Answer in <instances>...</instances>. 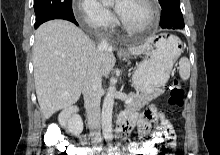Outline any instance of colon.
Returning <instances> with one entry per match:
<instances>
[{"label":"colon","mask_w":220,"mask_h":155,"mask_svg":"<svg viewBox=\"0 0 220 155\" xmlns=\"http://www.w3.org/2000/svg\"><path fill=\"white\" fill-rule=\"evenodd\" d=\"M184 101V89L180 84L178 79H173L170 87H169V98L168 104L171 107H181ZM155 135L153 136L154 140H158V144H164L162 148L159 149V155H174L173 148L174 144L170 143H163L165 136L160 135V131H155ZM49 139L51 143H47L45 146V151H49L48 155H76L75 152H71L74 148V143H65L61 136L59 135V131L57 129H52L48 133ZM147 147H152V142H147Z\"/></svg>","instance_id":"1"}]
</instances>
